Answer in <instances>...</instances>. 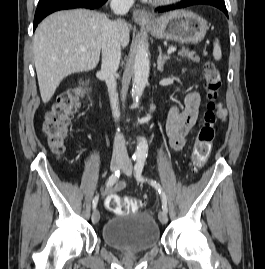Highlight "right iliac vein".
<instances>
[{"instance_id":"obj_1","label":"right iliac vein","mask_w":265,"mask_h":269,"mask_svg":"<svg viewBox=\"0 0 265 269\" xmlns=\"http://www.w3.org/2000/svg\"><path fill=\"white\" fill-rule=\"evenodd\" d=\"M123 166V161L119 159H113L110 163V169L112 172L117 171L119 168ZM92 221L93 223H97L100 219V213L97 209H95L92 213Z\"/></svg>"}]
</instances>
